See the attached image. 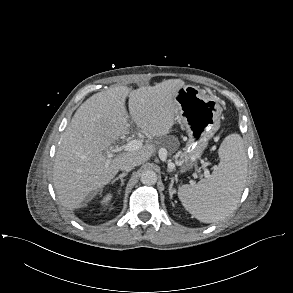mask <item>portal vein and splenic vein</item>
<instances>
[{
	"label": "portal vein and splenic vein",
	"instance_id": "obj_1",
	"mask_svg": "<svg viewBox=\"0 0 293 293\" xmlns=\"http://www.w3.org/2000/svg\"><path fill=\"white\" fill-rule=\"evenodd\" d=\"M142 147V142L139 140H130L128 141L125 145H123L122 149L124 151H135L138 150ZM113 157L112 153L108 154V160L106 162V167H108L109 163H110V159ZM210 173L208 169H205L204 171V176L207 178L209 177Z\"/></svg>",
	"mask_w": 293,
	"mask_h": 293
}]
</instances>
